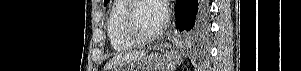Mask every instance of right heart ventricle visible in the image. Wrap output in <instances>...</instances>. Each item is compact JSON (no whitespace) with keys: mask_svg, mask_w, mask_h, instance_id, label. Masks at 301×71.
I'll return each instance as SVG.
<instances>
[{"mask_svg":"<svg viewBox=\"0 0 301 71\" xmlns=\"http://www.w3.org/2000/svg\"><path fill=\"white\" fill-rule=\"evenodd\" d=\"M129 0H116L113 2L107 19V34L112 48L116 51H127L137 46L129 39L123 29V14Z\"/></svg>","mask_w":301,"mask_h":71,"instance_id":"obj_1","label":"right heart ventricle"}]
</instances>
